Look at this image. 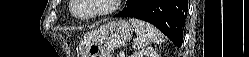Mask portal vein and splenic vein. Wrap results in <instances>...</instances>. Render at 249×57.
Listing matches in <instances>:
<instances>
[{
	"label": "portal vein and splenic vein",
	"instance_id": "obj_1",
	"mask_svg": "<svg viewBox=\"0 0 249 57\" xmlns=\"http://www.w3.org/2000/svg\"><path fill=\"white\" fill-rule=\"evenodd\" d=\"M119 56H120V57H125V54L122 53V52H120V53H119Z\"/></svg>",
	"mask_w": 249,
	"mask_h": 57
}]
</instances>
